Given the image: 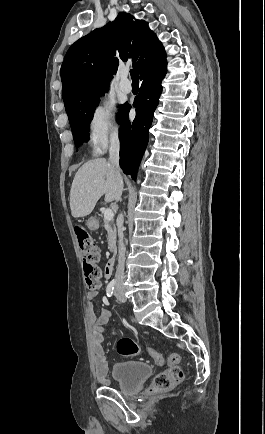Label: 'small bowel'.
<instances>
[{"mask_svg":"<svg viewBox=\"0 0 265 434\" xmlns=\"http://www.w3.org/2000/svg\"><path fill=\"white\" fill-rule=\"evenodd\" d=\"M97 290H89L86 294L87 310L92 323L91 328V348H92V373L95 379L100 381L103 387L109 384L106 379L108 374V363L104 348V327L110 321L112 312L108 308H102L99 315L94 313V300L98 296ZM161 365L171 366V363L166 360Z\"/></svg>","mask_w":265,"mask_h":434,"instance_id":"obj_1","label":"small bowel"}]
</instances>
